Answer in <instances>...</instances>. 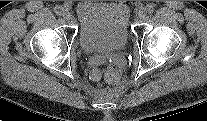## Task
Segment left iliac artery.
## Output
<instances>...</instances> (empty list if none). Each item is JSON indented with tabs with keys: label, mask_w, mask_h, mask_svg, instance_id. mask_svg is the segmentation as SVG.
<instances>
[{
	"label": "left iliac artery",
	"mask_w": 207,
	"mask_h": 121,
	"mask_svg": "<svg viewBox=\"0 0 207 121\" xmlns=\"http://www.w3.org/2000/svg\"><path fill=\"white\" fill-rule=\"evenodd\" d=\"M154 9H155V7L152 4L147 5L146 8H145V10L148 14L153 13Z\"/></svg>",
	"instance_id": "obj_1"
}]
</instances>
